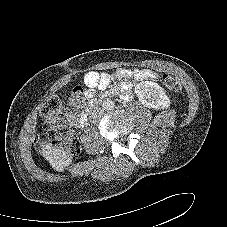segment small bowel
<instances>
[{
	"instance_id": "1",
	"label": "small bowel",
	"mask_w": 227,
	"mask_h": 227,
	"mask_svg": "<svg viewBox=\"0 0 227 227\" xmlns=\"http://www.w3.org/2000/svg\"><path fill=\"white\" fill-rule=\"evenodd\" d=\"M158 77L157 73L149 69H118L113 74L88 71L84 75V83L87 87L86 97L93 98L97 89L106 88L111 82L121 80L117 91L128 93L132 89V83L128 79L135 80H154ZM74 119V117H72Z\"/></svg>"
}]
</instances>
